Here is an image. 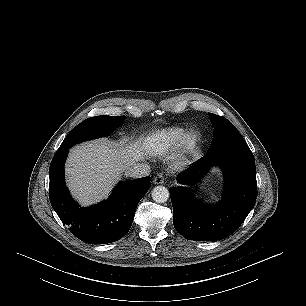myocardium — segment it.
Here are the masks:
<instances>
[{
  "label": "myocardium",
  "mask_w": 306,
  "mask_h": 306,
  "mask_svg": "<svg viewBox=\"0 0 306 306\" xmlns=\"http://www.w3.org/2000/svg\"><path fill=\"white\" fill-rule=\"evenodd\" d=\"M202 145L201 133L196 129L187 130L180 141V149L184 156L195 155Z\"/></svg>",
  "instance_id": "obj_1"
}]
</instances>
